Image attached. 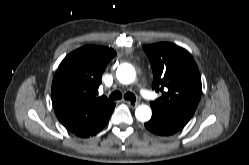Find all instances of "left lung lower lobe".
Masks as SVG:
<instances>
[{"instance_id":"1","label":"left lung lower lobe","mask_w":249,"mask_h":165,"mask_svg":"<svg viewBox=\"0 0 249 165\" xmlns=\"http://www.w3.org/2000/svg\"><path fill=\"white\" fill-rule=\"evenodd\" d=\"M152 107V118L145 123V127L152 133L169 136L180 131L190 119L165 112L155 106Z\"/></svg>"}]
</instances>
